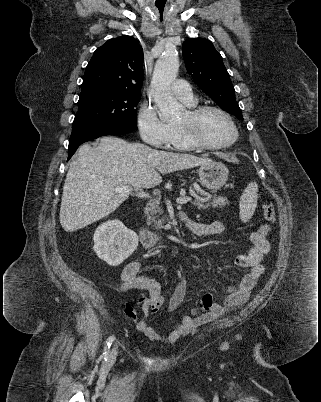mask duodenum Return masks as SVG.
Wrapping results in <instances>:
<instances>
[{
  "instance_id": "obj_1",
  "label": "duodenum",
  "mask_w": 321,
  "mask_h": 402,
  "mask_svg": "<svg viewBox=\"0 0 321 402\" xmlns=\"http://www.w3.org/2000/svg\"><path fill=\"white\" fill-rule=\"evenodd\" d=\"M137 231L142 245L147 249H155L164 241V238L161 234L153 233L145 228H138Z\"/></svg>"
}]
</instances>
